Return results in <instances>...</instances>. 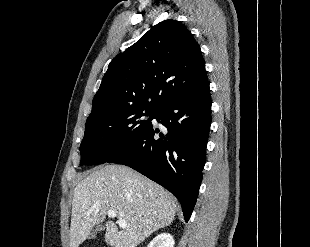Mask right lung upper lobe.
Here are the masks:
<instances>
[{
  "instance_id": "right-lung-upper-lobe-1",
  "label": "right lung upper lobe",
  "mask_w": 310,
  "mask_h": 247,
  "mask_svg": "<svg viewBox=\"0 0 310 247\" xmlns=\"http://www.w3.org/2000/svg\"><path fill=\"white\" fill-rule=\"evenodd\" d=\"M206 81L205 62L190 31L164 20L111 61L87 121L130 108L157 110Z\"/></svg>"
}]
</instances>
